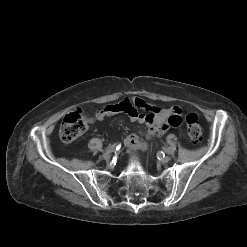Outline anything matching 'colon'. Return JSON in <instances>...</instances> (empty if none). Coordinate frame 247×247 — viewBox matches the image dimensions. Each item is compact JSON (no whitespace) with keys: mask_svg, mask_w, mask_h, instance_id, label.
I'll use <instances>...</instances> for the list:
<instances>
[{"mask_svg":"<svg viewBox=\"0 0 247 247\" xmlns=\"http://www.w3.org/2000/svg\"><path fill=\"white\" fill-rule=\"evenodd\" d=\"M186 129L189 139L193 144H198L202 140V127L196 114L190 113L186 116ZM88 119L81 109H76L68 113L60 126L59 136L65 143L76 140L86 130Z\"/></svg>","mask_w":247,"mask_h":247,"instance_id":"5ec220e1","label":"colon"}]
</instances>
